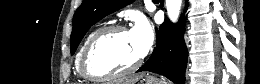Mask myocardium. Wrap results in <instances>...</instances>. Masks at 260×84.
I'll use <instances>...</instances> for the list:
<instances>
[{"mask_svg": "<svg viewBox=\"0 0 260 84\" xmlns=\"http://www.w3.org/2000/svg\"><path fill=\"white\" fill-rule=\"evenodd\" d=\"M114 33H129V30L123 25H118V24L108 25L100 28L86 44L80 61V70L82 76L85 79L92 80V81H106V80L117 79L136 71L142 65L144 61V55H142L134 64H132L128 68H125L120 71L98 73L93 70L90 62L96 45L105 36Z\"/></svg>", "mask_w": 260, "mask_h": 84, "instance_id": "myocardium-1", "label": "myocardium"}]
</instances>
